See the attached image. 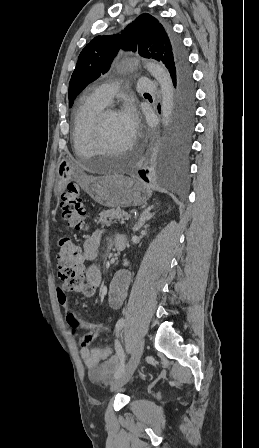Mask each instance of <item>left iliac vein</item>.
Here are the masks:
<instances>
[{
    "label": "left iliac vein",
    "instance_id": "obj_1",
    "mask_svg": "<svg viewBox=\"0 0 259 448\" xmlns=\"http://www.w3.org/2000/svg\"><path fill=\"white\" fill-rule=\"evenodd\" d=\"M144 349V340L139 339L134 347L132 356L126 366L125 371L123 374L118 377L113 384L111 385V390H117L124 386L132 377L134 371L136 370L139 361L141 359L142 353Z\"/></svg>",
    "mask_w": 259,
    "mask_h": 448
}]
</instances>
